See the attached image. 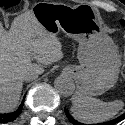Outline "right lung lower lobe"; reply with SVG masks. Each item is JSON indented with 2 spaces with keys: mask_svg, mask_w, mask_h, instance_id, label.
<instances>
[{
  "mask_svg": "<svg viewBox=\"0 0 125 125\" xmlns=\"http://www.w3.org/2000/svg\"><path fill=\"white\" fill-rule=\"evenodd\" d=\"M22 107H23V101L16 111L7 114H0V123H7L15 120L20 115Z\"/></svg>",
  "mask_w": 125,
  "mask_h": 125,
  "instance_id": "right-lung-lower-lobe-1",
  "label": "right lung lower lobe"
}]
</instances>
